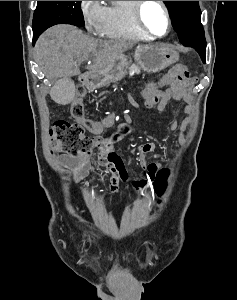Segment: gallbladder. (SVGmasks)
I'll return each mask as SVG.
<instances>
[{
    "mask_svg": "<svg viewBox=\"0 0 237 300\" xmlns=\"http://www.w3.org/2000/svg\"><path fill=\"white\" fill-rule=\"evenodd\" d=\"M74 94L72 76H59L57 84H54L51 91L52 101H55L56 105H70Z\"/></svg>",
    "mask_w": 237,
    "mask_h": 300,
    "instance_id": "1",
    "label": "gallbladder"
}]
</instances>
